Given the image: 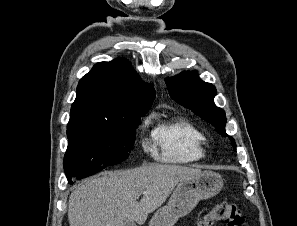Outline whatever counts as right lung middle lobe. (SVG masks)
I'll return each instance as SVG.
<instances>
[{"instance_id": "right-lung-middle-lobe-1", "label": "right lung middle lobe", "mask_w": 297, "mask_h": 226, "mask_svg": "<svg viewBox=\"0 0 297 226\" xmlns=\"http://www.w3.org/2000/svg\"><path fill=\"white\" fill-rule=\"evenodd\" d=\"M150 107L125 109L118 123L76 121L67 125L68 147L64 170L68 180L127 159L133 148L140 117Z\"/></svg>"}]
</instances>
